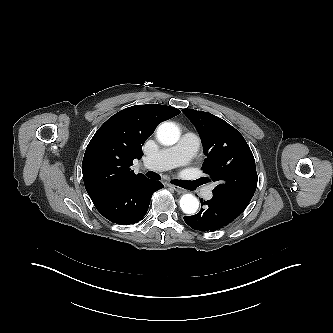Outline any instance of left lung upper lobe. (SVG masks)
Returning <instances> with one entry per match:
<instances>
[{"label":"left lung upper lobe","mask_w":333,"mask_h":333,"mask_svg":"<svg viewBox=\"0 0 333 333\" xmlns=\"http://www.w3.org/2000/svg\"><path fill=\"white\" fill-rule=\"evenodd\" d=\"M196 127L207 158L202 169L217 182L213 195L244 211L257 188L254 156L244 137L223 119L204 111L183 109Z\"/></svg>","instance_id":"5c2ea615"}]
</instances>
